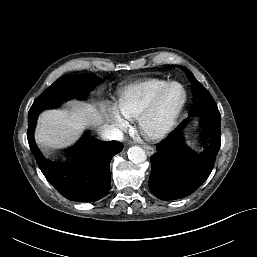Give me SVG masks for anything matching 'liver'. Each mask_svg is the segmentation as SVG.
Here are the masks:
<instances>
[{
	"label": "liver",
	"mask_w": 257,
	"mask_h": 257,
	"mask_svg": "<svg viewBox=\"0 0 257 257\" xmlns=\"http://www.w3.org/2000/svg\"><path fill=\"white\" fill-rule=\"evenodd\" d=\"M71 111L48 110L40 115L36 130L37 141L46 148L57 149L72 143L95 110L77 101Z\"/></svg>",
	"instance_id": "liver-1"
}]
</instances>
